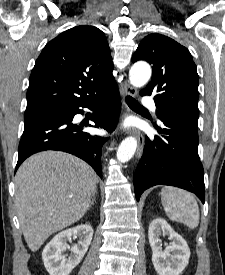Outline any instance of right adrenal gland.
I'll use <instances>...</instances> for the list:
<instances>
[{
  "label": "right adrenal gland",
  "mask_w": 225,
  "mask_h": 275,
  "mask_svg": "<svg viewBox=\"0 0 225 275\" xmlns=\"http://www.w3.org/2000/svg\"><path fill=\"white\" fill-rule=\"evenodd\" d=\"M96 194H97V190L95 191L93 197H92V201H91V204H90V207L94 204L95 200H96Z\"/></svg>",
  "instance_id": "right-adrenal-gland-1"
}]
</instances>
